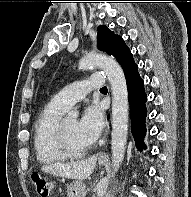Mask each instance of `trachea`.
Segmentation results:
<instances>
[{
	"mask_svg": "<svg viewBox=\"0 0 191 197\" xmlns=\"http://www.w3.org/2000/svg\"><path fill=\"white\" fill-rule=\"evenodd\" d=\"M102 89H107V87H103Z\"/></svg>",
	"mask_w": 191,
	"mask_h": 197,
	"instance_id": "obj_1",
	"label": "trachea"
}]
</instances>
